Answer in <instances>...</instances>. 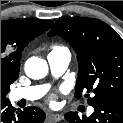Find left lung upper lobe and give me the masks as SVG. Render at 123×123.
Listing matches in <instances>:
<instances>
[{"label":"left lung upper lobe","mask_w":123,"mask_h":123,"mask_svg":"<svg viewBox=\"0 0 123 123\" xmlns=\"http://www.w3.org/2000/svg\"><path fill=\"white\" fill-rule=\"evenodd\" d=\"M59 35L77 53L78 79L75 97L93 92V107L106 100L123 103V40L106 23L84 17L58 20L48 36ZM88 97V94L85 95Z\"/></svg>","instance_id":"obj_1"}]
</instances>
